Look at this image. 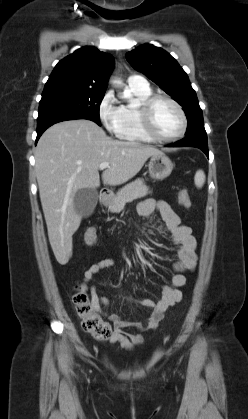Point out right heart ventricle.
I'll return each instance as SVG.
<instances>
[{"label":"right heart ventricle","instance_id":"e07e8e85","mask_svg":"<svg viewBox=\"0 0 248 419\" xmlns=\"http://www.w3.org/2000/svg\"><path fill=\"white\" fill-rule=\"evenodd\" d=\"M129 92L136 98L138 105H122L123 121L118 136L126 141L134 142H151L152 140L147 137L140 126L138 118V106L140 102L147 99L152 95V91L149 88L140 89L128 86Z\"/></svg>","mask_w":248,"mask_h":419}]
</instances>
